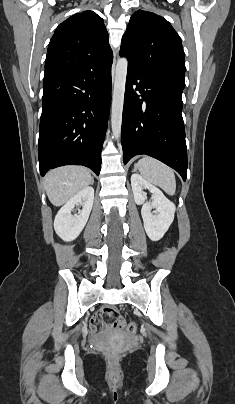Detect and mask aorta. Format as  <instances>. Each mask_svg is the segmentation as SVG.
<instances>
[{
	"mask_svg": "<svg viewBox=\"0 0 235 404\" xmlns=\"http://www.w3.org/2000/svg\"><path fill=\"white\" fill-rule=\"evenodd\" d=\"M127 68V59L120 58L116 65L111 115L112 132L116 139H118L121 134Z\"/></svg>",
	"mask_w": 235,
	"mask_h": 404,
	"instance_id": "1",
	"label": "aorta"
}]
</instances>
